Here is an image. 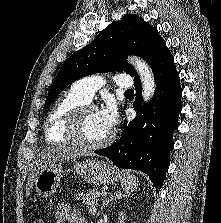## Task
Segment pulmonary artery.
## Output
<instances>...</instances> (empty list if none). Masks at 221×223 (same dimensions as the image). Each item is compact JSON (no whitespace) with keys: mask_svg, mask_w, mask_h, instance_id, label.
<instances>
[{"mask_svg":"<svg viewBox=\"0 0 221 223\" xmlns=\"http://www.w3.org/2000/svg\"><path fill=\"white\" fill-rule=\"evenodd\" d=\"M114 82L121 88L130 89L133 81L127 75L119 73L115 75ZM106 84V79L101 75H92L75 81L71 89L81 96L86 102L92 100L94 93Z\"/></svg>","mask_w":221,"mask_h":223,"instance_id":"obj_1","label":"pulmonary artery"}]
</instances>
